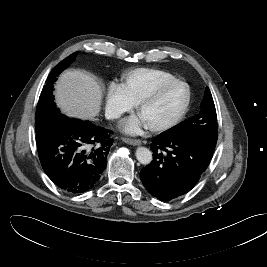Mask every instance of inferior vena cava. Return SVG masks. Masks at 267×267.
<instances>
[{"label": "inferior vena cava", "mask_w": 267, "mask_h": 267, "mask_svg": "<svg viewBox=\"0 0 267 267\" xmlns=\"http://www.w3.org/2000/svg\"><path fill=\"white\" fill-rule=\"evenodd\" d=\"M105 116L107 119H116V118L120 117V114L117 112H107L105 114Z\"/></svg>", "instance_id": "1"}]
</instances>
